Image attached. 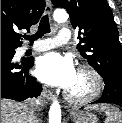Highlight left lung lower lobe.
Wrapping results in <instances>:
<instances>
[{
    "label": "left lung lower lobe",
    "mask_w": 122,
    "mask_h": 123,
    "mask_svg": "<svg viewBox=\"0 0 122 123\" xmlns=\"http://www.w3.org/2000/svg\"><path fill=\"white\" fill-rule=\"evenodd\" d=\"M102 96L93 103H112L122 107V74H110L106 78Z\"/></svg>",
    "instance_id": "1"
}]
</instances>
